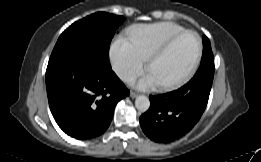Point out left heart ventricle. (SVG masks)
I'll return each mask as SVG.
<instances>
[{"mask_svg": "<svg viewBox=\"0 0 261 162\" xmlns=\"http://www.w3.org/2000/svg\"><path fill=\"white\" fill-rule=\"evenodd\" d=\"M197 48V38L193 34H186L167 53L154 61L148 71L159 84L174 81L189 69Z\"/></svg>", "mask_w": 261, "mask_h": 162, "instance_id": "b2bd125f", "label": "left heart ventricle"}]
</instances>
